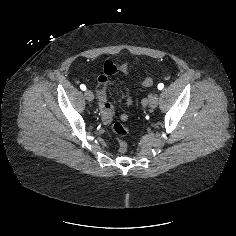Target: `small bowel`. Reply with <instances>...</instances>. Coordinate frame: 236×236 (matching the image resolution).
<instances>
[{
  "mask_svg": "<svg viewBox=\"0 0 236 236\" xmlns=\"http://www.w3.org/2000/svg\"><path fill=\"white\" fill-rule=\"evenodd\" d=\"M118 73L127 76L128 74V64L126 62L116 63L110 60L104 62L103 72L98 76V95L100 100V115L101 120L104 124L108 125L112 121L113 117V108L107 100L106 96V87L109 78L116 76ZM121 100L126 102L128 105L132 104V96L130 90L127 88ZM120 118L123 121L128 119V114L122 112Z\"/></svg>",
  "mask_w": 236,
  "mask_h": 236,
  "instance_id": "c3829d8e",
  "label": "small bowel"
}]
</instances>
